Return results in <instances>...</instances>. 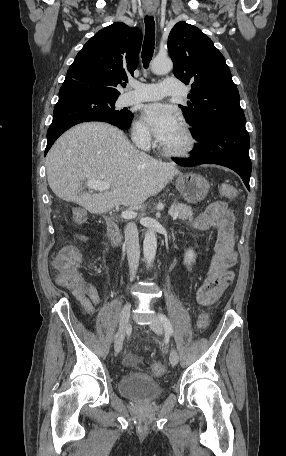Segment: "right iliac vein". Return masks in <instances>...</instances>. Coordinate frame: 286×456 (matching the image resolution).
I'll return each mask as SVG.
<instances>
[{
	"instance_id": "right-iliac-vein-1",
	"label": "right iliac vein",
	"mask_w": 286,
	"mask_h": 456,
	"mask_svg": "<svg viewBox=\"0 0 286 456\" xmlns=\"http://www.w3.org/2000/svg\"><path fill=\"white\" fill-rule=\"evenodd\" d=\"M130 308H131V303L127 302L120 314V319H119V332L117 335V338L115 340L114 348L115 352L119 353L122 350L123 346V340L125 336V332L129 323V318H130Z\"/></svg>"
}]
</instances>
